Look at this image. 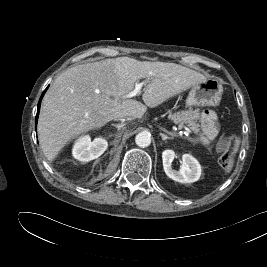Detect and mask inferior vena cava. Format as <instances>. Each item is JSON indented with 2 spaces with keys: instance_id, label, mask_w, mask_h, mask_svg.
Listing matches in <instances>:
<instances>
[{
  "instance_id": "602c4592",
  "label": "inferior vena cava",
  "mask_w": 267,
  "mask_h": 267,
  "mask_svg": "<svg viewBox=\"0 0 267 267\" xmlns=\"http://www.w3.org/2000/svg\"><path fill=\"white\" fill-rule=\"evenodd\" d=\"M125 119H126V120H133V119H135V117H133V116H128V117H126V118H120V119H118V120H120V121H125Z\"/></svg>"
}]
</instances>
